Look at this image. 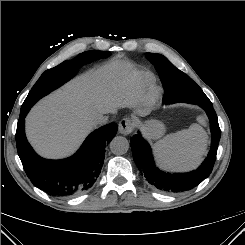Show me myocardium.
I'll return each instance as SVG.
<instances>
[{"label": "myocardium", "mask_w": 245, "mask_h": 245, "mask_svg": "<svg viewBox=\"0 0 245 245\" xmlns=\"http://www.w3.org/2000/svg\"><path fill=\"white\" fill-rule=\"evenodd\" d=\"M160 96L161 94L159 89L153 88L152 90H150L144 102L145 108L152 109L153 107H155L159 102Z\"/></svg>", "instance_id": "myocardium-1"}]
</instances>
